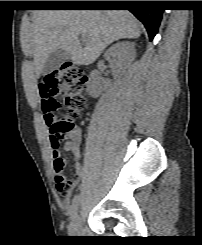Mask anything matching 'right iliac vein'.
Instances as JSON below:
<instances>
[{
  "mask_svg": "<svg viewBox=\"0 0 202 245\" xmlns=\"http://www.w3.org/2000/svg\"><path fill=\"white\" fill-rule=\"evenodd\" d=\"M80 224H81V216L78 212H75L70 223L69 231L71 235L73 236L80 235Z\"/></svg>",
  "mask_w": 202,
  "mask_h": 245,
  "instance_id": "obj_1",
  "label": "right iliac vein"
}]
</instances>
